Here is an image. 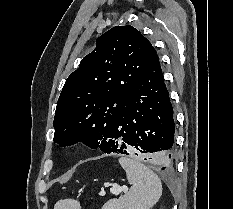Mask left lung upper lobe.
Returning <instances> with one entry per match:
<instances>
[{
  "label": "left lung upper lobe",
  "instance_id": "5c2ea615",
  "mask_svg": "<svg viewBox=\"0 0 233 209\" xmlns=\"http://www.w3.org/2000/svg\"><path fill=\"white\" fill-rule=\"evenodd\" d=\"M96 48L67 78L54 117V141L102 148L135 84L156 57L151 43L130 25L102 34Z\"/></svg>",
  "mask_w": 233,
  "mask_h": 209
}]
</instances>
